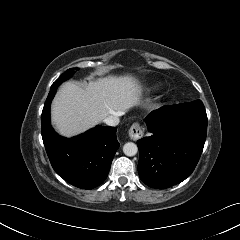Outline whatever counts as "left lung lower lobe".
Masks as SVG:
<instances>
[{
	"label": "left lung lower lobe",
	"mask_w": 240,
	"mask_h": 240,
	"mask_svg": "<svg viewBox=\"0 0 240 240\" xmlns=\"http://www.w3.org/2000/svg\"><path fill=\"white\" fill-rule=\"evenodd\" d=\"M201 100L163 106L146 117L150 135L137 141L141 180L156 189L184 181L195 169L207 134Z\"/></svg>",
	"instance_id": "1"
}]
</instances>
